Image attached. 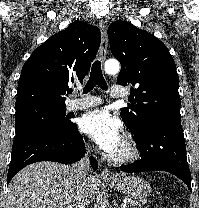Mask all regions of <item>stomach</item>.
<instances>
[{"label": "stomach", "mask_w": 199, "mask_h": 208, "mask_svg": "<svg viewBox=\"0 0 199 208\" xmlns=\"http://www.w3.org/2000/svg\"><path fill=\"white\" fill-rule=\"evenodd\" d=\"M107 184L134 200H142L151 192L150 184L136 176L120 177L115 181H107Z\"/></svg>", "instance_id": "obj_1"}]
</instances>
